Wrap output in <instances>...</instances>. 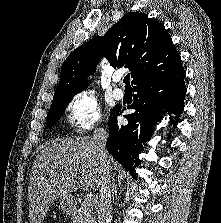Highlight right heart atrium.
Masks as SVG:
<instances>
[{"instance_id":"d8ad5b80","label":"right heart atrium","mask_w":221,"mask_h":223,"mask_svg":"<svg viewBox=\"0 0 221 223\" xmlns=\"http://www.w3.org/2000/svg\"><path fill=\"white\" fill-rule=\"evenodd\" d=\"M103 123L100 104L88 92L77 93L66 105V126L70 134L85 133Z\"/></svg>"}]
</instances>
